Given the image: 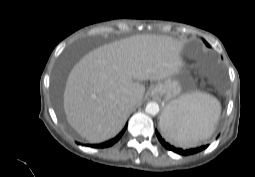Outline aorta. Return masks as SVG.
<instances>
[{
    "label": "aorta",
    "instance_id": "1",
    "mask_svg": "<svg viewBox=\"0 0 255 177\" xmlns=\"http://www.w3.org/2000/svg\"><path fill=\"white\" fill-rule=\"evenodd\" d=\"M146 113L156 115L159 112V105L156 102H149L145 108Z\"/></svg>",
    "mask_w": 255,
    "mask_h": 177
}]
</instances>
